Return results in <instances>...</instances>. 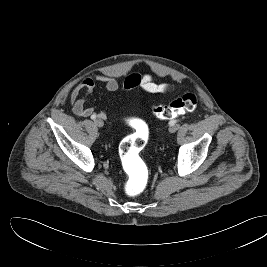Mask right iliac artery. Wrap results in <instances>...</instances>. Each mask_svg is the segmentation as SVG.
Instances as JSON below:
<instances>
[{
  "label": "right iliac artery",
  "instance_id": "obj_1",
  "mask_svg": "<svg viewBox=\"0 0 267 267\" xmlns=\"http://www.w3.org/2000/svg\"><path fill=\"white\" fill-rule=\"evenodd\" d=\"M91 119H92V120H95V119H96V116H95V115H92V116H91Z\"/></svg>",
  "mask_w": 267,
  "mask_h": 267
}]
</instances>
